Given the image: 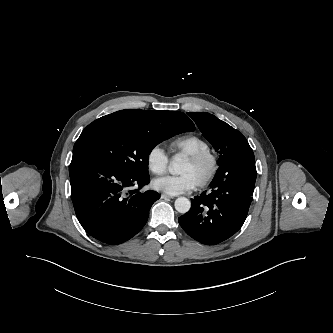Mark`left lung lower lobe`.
I'll use <instances>...</instances> for the list:
<instances>
[{"instance_id":"1","label":"left lung lower lobe","mask_w":333,"mask_h":333,"mask_svg":"<svg viewBox=\"0 0 333 333\" xmlns=\"http://www.w3.org/2000/svg\"><path fill=\"white\" fill-rule=\"evenodd\" d=\"M257 177L251 147L234 153L220 165L210 189L192 199L190 210L178 218L196 241L215 245L234 235L243 225Z\"/></svg>"}]
</instances>
